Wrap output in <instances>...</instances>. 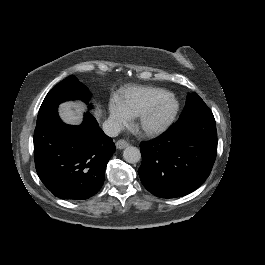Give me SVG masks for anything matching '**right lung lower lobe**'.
Here are the masks:
<instances>
[{
	"instance_id": "obj_1",
	"label": "right lung lower lobe",
	"mask_w": 265,
	"mask_h": 265,
	"mask_svg": "<svg viewBox=\"0 0 265 265\" xmlns=\"http://www.w3.org/2000/svg\"><path fill=\"white\" fill-rule=\"evenodd\" d=\"M115 144L87 112L83 123H63L57 108L37 119L34 159L39 178L61 199L82 200L96 194L104 182Z\"/></svg>"
}]
</instances>
